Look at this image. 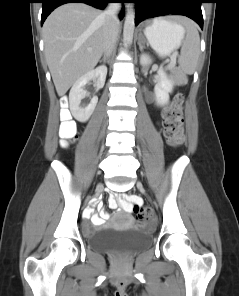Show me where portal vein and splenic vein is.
<instances>
[{
    "mask_svg": "<svg viewBox=\"0 0 239 296\" xmlns=\"http://www.w3.org/2000/svg\"><path fill=\"white\" fill-rule=\"evenodd\" d=\"M174 65V61H171L169 64V67H172Z\"/></svg>",
    "mask_w": 239,
    "mask_h": 296,
    "instance_id": "18ae733b",
    "label": "portal vein and splenic vein"
}]
</instances>
